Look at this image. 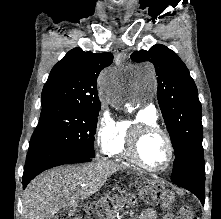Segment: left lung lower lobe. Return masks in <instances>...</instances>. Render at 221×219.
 I'll list each match as a JSON object with an SVG mask.
<instances>
[{"label": "left lung lower lobe", "instance_id": "1", "mask_svg": "<svg viewBox=\"0 0 221 219\" xmlns=\"http://www.w3.org/2000/svg\"><path fill=\"white\" fill-rule=\"evenodd\" d=\"M173 182L195 194L200 199L201 203L204 205L205 174Z\"/></svg>", "mask_w": 221, "mask_h": 219}]
</instances>
